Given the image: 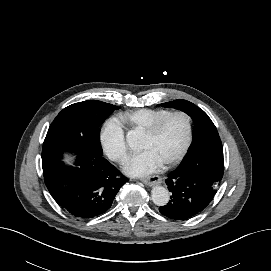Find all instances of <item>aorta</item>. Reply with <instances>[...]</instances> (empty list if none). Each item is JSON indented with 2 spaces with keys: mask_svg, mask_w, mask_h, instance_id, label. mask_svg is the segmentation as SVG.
<instances>
[{
  "mask_svg": "<svg viewBox=\"0 0 271 271\" xmlns=\"http://www.w3.org/2000/svg\"><path fill=\"white\" fill-rule=\"evenodd\" d=\"M129 142L132 141V137L128 135ZM169 191L160 185H154L151 190V200L158 206H164L169 202Z\"/></svg>",
  "mask_w": 271,
  "mask_h": 271,
  "instance_id": "aorta-1",
  "label": "aorta"
}]
</instances>
